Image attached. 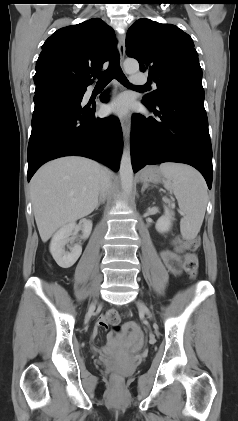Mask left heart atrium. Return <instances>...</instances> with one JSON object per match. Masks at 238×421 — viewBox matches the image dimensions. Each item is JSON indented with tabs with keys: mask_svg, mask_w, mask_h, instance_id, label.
Segmentation results:
<instances>
[{
	"mask_svg": "<svg viewBox=\"0 0 238 421\" xmlns=\"http://www.w3.org/2000/svg\"><path fill=\"white\" fill-rule=\"evenodd\" d=\"M129 109V103L126 97L120 96L114 99L106 106V111L109 114H113L116 116H124L127 114Z\"/></svg>",
	"mask_w": 238,
	"mask_h": 421,
	"instance_id": "left-heart-atrium-1",
	"label": "left heart atrium"
}]
</instances>
